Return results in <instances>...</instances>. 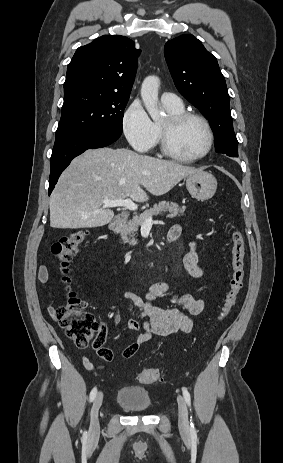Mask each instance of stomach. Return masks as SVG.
I'll return each instance as SVG.
<instances>
[{
  "label": "stomach",
  "instance_id": "0dacf381",
  "mask_svg": "<svg viewBox=\"0 0 283 463\" xmlns=\"http://www.w3.org/2000/svg\"><path fill=\"white\" fill-rule=\"evenodd\" d=\"M186 188L192 198L205 201L214 196L217 180L211 173L201 170L186 177Z\"/></svg>",
  "mask_w": 283,
  "mask_h": 463
}]
</instances>
